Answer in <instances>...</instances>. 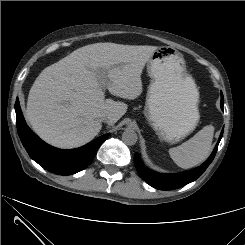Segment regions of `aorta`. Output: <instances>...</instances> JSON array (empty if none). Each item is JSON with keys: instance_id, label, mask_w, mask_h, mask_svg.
Wrapping results in <instances>:
<instances>
[{"instance_id": "1", "label": "aorta", "mask_w": 245, "mask_h": 245, "mask_svg": "<svg viewBox=\"0 0 245 245\" xmlns=\"http://www.w3.org/2000/svg\"><path fill=\"white\" fill-rule=\"evenodd\" d=\"M138 140L137 133L132 129H126L122 134V141L126 145H135Z\"/></svg>"}]
</instances>
